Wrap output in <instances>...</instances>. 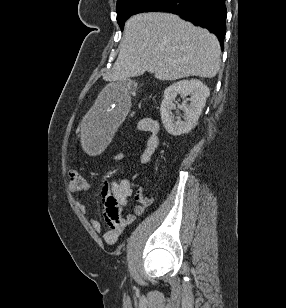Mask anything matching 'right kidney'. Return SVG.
<instances>
[{
	"label": "right kidney",
	"mask_w": 286,
	"mask_h": 308,
	"mask_svg": "<svg viewBox=\"0 0 286 308\" xmlns=\"http://www.w3.org/2000/svg\"><path fill=\"white\" fill-rule=\"evenodd\" d=\"M209 94V88L197 79L182 80L167 87L160 107L161 120L166 131L173 136L190 132L196 126ZM177 95L190 96L182 103L183 120L175 118L171 112L175 109L173 101ZM187 101L190 103L187 104Z\"/></svg>",
	"instance_id": "ca27d5eb"
}]
</instances>
